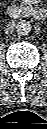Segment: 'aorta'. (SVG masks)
<instances>
[{
    "instance_id": "762f6f07",
    "label": "aorta",
    "mask_w": 47,
    "mask_h": 129,
    "mask_svg": "<svg viewBox=\"0 0 47 129\" xmlns=\"http://www.w3.org/2000/svg\"><path fill=\"white\" fill-rule=\"evenodd\" d=\"M32 30L30 22L26 20H20L16 25V32L19 35H28Z\"/></svg>"
}]
</instances>
